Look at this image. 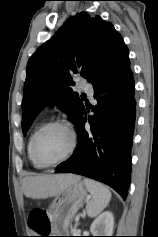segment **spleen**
I'll use <instances>...</instances> for the list:
<instances>
[{
    "mask_svg": "<svg viewBox=\"0 0 158 237\" xmlns=\"http://www.w3.org/2000/svg\"><path fill=\"white\" fill-rule=\"evenodd\" d=\"M83 182L92 196V199L86 205L87 214L94 218L108 205L111 192L108 187L95 180L85 178Z\"/></svg>",
    "mask_w": 158,
    "mask_h": 237,
    "instance_id": "1",
    "label": "spleen"
}]
</instances>
